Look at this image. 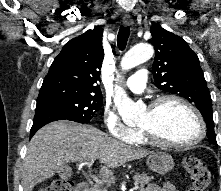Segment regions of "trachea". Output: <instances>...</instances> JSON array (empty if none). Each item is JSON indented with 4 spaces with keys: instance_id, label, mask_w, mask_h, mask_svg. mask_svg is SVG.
Wrapping results in <instances>:
<instances>
[{
    "instance_id": "3493384b",
    "label": "trachea",
    "mask_w": 221,
    "mask_h": 191,
    "mask_svg": "<svg viewBox=\"0 0 221 191\" xmlns=\"http://www.w3.org/2000/svg\"><path fill=\"white\" fill-rule=\"evenodd\" d=\"M130 35V28L121 26L117 36V45L120 50H124Z\"/></svg>"
}]
</instances>
